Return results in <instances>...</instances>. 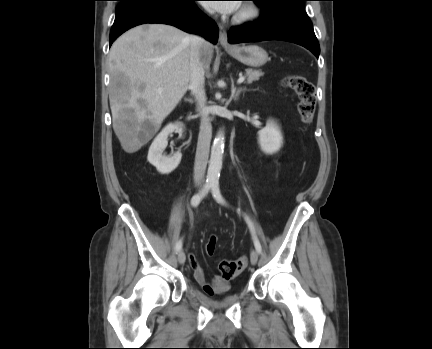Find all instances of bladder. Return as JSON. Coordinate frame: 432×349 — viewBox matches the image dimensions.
Here are the masks:
<instances>
[{"label":"bladder","instance_id":"obj_1","mask_svg":"<svg viewBox=\"0 0 432 349\" xmlns=\"http://www.w3.org/2000/svg\"><path fill=\"white\" fill-rule=\"evenodd\" d=\"M196 294L201 301H203L204 303H206L208 305H212L215 307H220L224 303L236 298V294H233L229 291H225L220 297H217V298L209 296L201 290H197Z\"/></svg>","mask_w":432,"mask_h":349}]
</instances>
